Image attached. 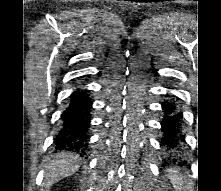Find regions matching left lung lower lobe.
I'll return each mask as SVG.
<instances>
[{"label":"left lung lower lobe","mask_w":221,"mask_h":191,"mask_svg":"<svg viewBox=\"0 0 221 191\" xmlns=\"http://www.w3.org/2000/svg\"><path fill=\"white\" fill-rule=\"evenodd\" d=\"M164 118L161 123L163 137L160 141L169 157L175 158L180 155L184 135L182 132L183 114L180 112L174 102L162 103Z\"/></svg>","instance_id":"0a47b994"}]
</instances>
